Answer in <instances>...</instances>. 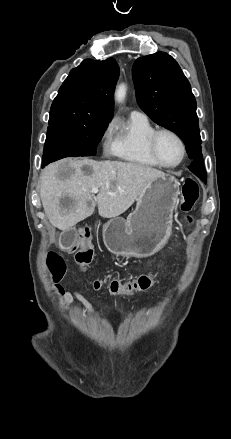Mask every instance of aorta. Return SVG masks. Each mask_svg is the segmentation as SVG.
<instances>
[{"label": "aorta", "instance_id": "762f6f07", "mask_svg": "<svg viewBox=\"0 0 231 439\" xmlns=\"http://www.w3.org/2000/svg\"><path fill=\"white\" fill-rule=\"evenodd\" d=\"M127 87L125 84H120L115 91V100L117 102H123L126 96Z\"/></svg>", "mask_w": 231, "mask_h": 439}]
</instances>
